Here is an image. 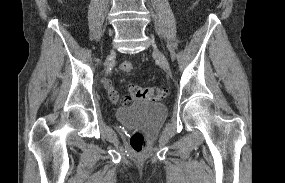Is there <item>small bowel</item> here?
I'll list each match as a JSON object with an SVG mask.
<instances>
[{"label": "small bowel", "mask_w": 285, "mask_h": 183, "mask_svg": "<svg viewBox=\"0 0 285 183\" xmlns=\"http://www.w3.org/2000/svg\"><path fill=\"white\" fill-rule=\"evenodd\" d=\"M103 84L104 86L106 87L108 93H109V96H113V99L111 98L112 101H118L119 100V94L118 92L113 88L112 84L110 83L109 80L107 79H104L103 80ZM123 102V100H122Z\"/></svg>", "instance_id": "1"}]
</instances>
